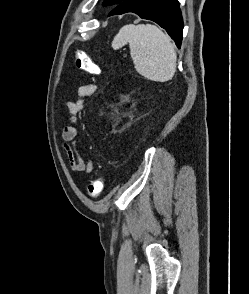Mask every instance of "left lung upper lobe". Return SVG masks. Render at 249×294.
<instances>
[{
  "label": "left lung upper lobe",
  "mask_w": 249,
  "mask_h": 294,
  "mask_svg": "<svg viewBox=\"0 0 249 294\" xmlns=\"http://www.w3.org/2000/svg\"><path fill=\"white\" fill-rule=\"evenodd\" d=\"M124 0H105L103 5L108 6V5H114V4H120Z\"/></svg>",
  "instance_id": "5c2ea615"
}]
</instances>
